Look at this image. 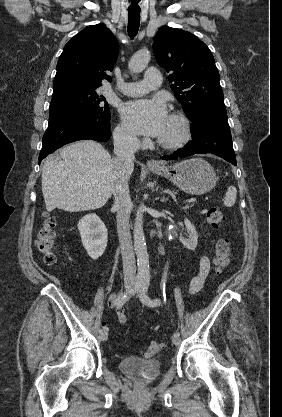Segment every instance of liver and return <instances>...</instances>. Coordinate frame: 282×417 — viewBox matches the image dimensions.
<instances>
[{"label":"liver","mask_w":282,"mask_h":417,"mask_svg":"<svg viewBox=\"0 0 282 417\" xmlns=\"http://www.w3.org/2000/svg\"><path fill=\"white\" fill-rule=\"evenodd\" d=\"M60 158H46L42 192L48 213L94 211L106 204L113 190L114 160L100 142L79 140L60 148Z\"/></svg>","instance_id":"6515ba94"}]
</instances>
